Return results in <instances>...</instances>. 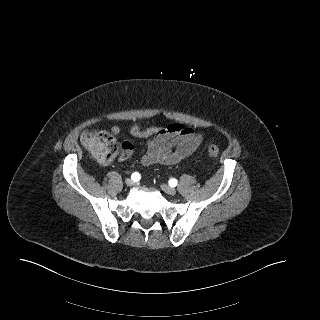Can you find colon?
<instances>
[{
	"mask_svg": "<svg viewBox=\"0 0 320 320\" xmlns=\"http://www.w3.org/2000/svg\"><path fill=\"white\" fill-rule=\"evenodd\" d=\"M81 140L100 163L112 161L120 149L116 138L107 131L86 132L82 134ZM208 153L211 157H218L220 153L218 146L210 144Z\"/></svg>",
	"mask_w": 320,
	"mask_h": 320,
	"instance_id": "5ec220e1",
	"label": "colon"
}]
</instances>
